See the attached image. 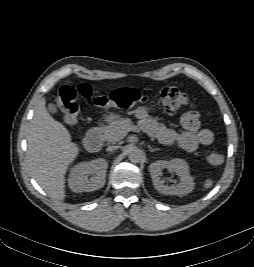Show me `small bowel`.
<instances>
[{"label": "small bowel", "instance_id": "obj_1", "mask_svg": "<svg viewBox=\"0 0 254 267\" xmlns=\"http://www.w3.org/2000/svg\"><path fill=\"white\" fill-rule=\"evenodd\" d=\"M137 117L147 132L163 144L178 143L187 152H195L199 146H208L214 136L209 129L201 128L200 116L196 111H189L181 116L183 132L169 129L150 118L146 109H139Z\"/></svg>", "mask_w": 254, "mask_h": 267}]
</instances>
